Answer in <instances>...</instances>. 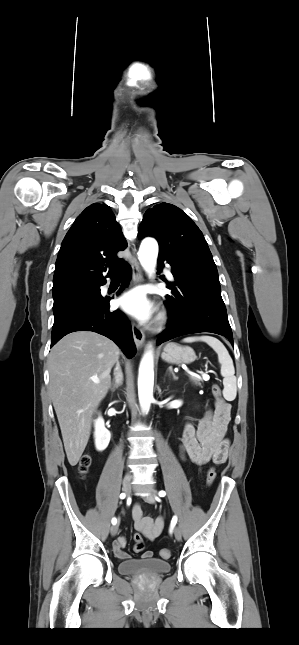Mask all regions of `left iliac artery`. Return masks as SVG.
Listing matches in <instances>:
<instances>
[{
	"label": "left iliac artery",
	"instance_id": "left-iliac-artery-1",
	"mask_svg": "<svg viewBox=\"0 0 299 645\" xmlns=\"http://www.w3.org/2000/svg\"><path fill=\"white\" fill-rule=\"evenodd\" d=\"M158 495H159L160 497H164V496L166 495V492H165V491H163V490H161V491H159V492H158ZM176 523H177V517H176V516H174V517L172 518V520H171L170 533L172 532V529H173V527L175 526V524H176Z\"/></svg>",
	"mask_w": 299,
	"mask_h": 645
}]
</instances>
